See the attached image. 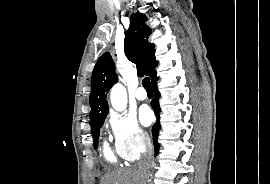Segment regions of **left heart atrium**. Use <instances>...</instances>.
<instances>
[{"mask_svg": "<svg viewBox=\"0 0 270 184\" xmlns=\"http://www.w3.org/2000/svg\"><path fill=\"white\" fill-rule=\"evenodd\" d=\"M140 121L144 126H148L151 124L153 120V114L148 107H143L139 114Z\"/></svg>", "mask_w": 270, "mask_h": 184, "instance_id": "left-heart-atrium-1", "label": "left heart atrium"}]
</instances>
